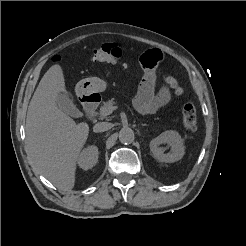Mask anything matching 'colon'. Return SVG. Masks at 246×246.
<instances>
[{
	"label": "colon",
	"instance_id": "obj_1",
	"mask_svg": "<svg viewBox=\"0 0 246 246\" xmlns=\"http://www.w3.org/2000/svg\"><path fill=\"white\" fill-rule=\"evenodd\" d=\"M122 49L115 43L104 44L94 50L92 58L97 63L118 64L122 61ZM61 57L57 56L56 60ZM167 83L176 90V93H181V88L176 80L172 77L167 78ZM197 124V110L193 103H186L182 109V125L186 130H193Z\"/></svg>",
	"mask_w": 246,
	"mask_h": 246
}]
</instances>
